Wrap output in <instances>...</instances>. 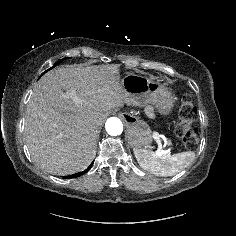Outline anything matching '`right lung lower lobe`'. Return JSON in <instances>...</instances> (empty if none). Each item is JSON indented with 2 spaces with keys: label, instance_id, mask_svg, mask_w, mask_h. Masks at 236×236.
<instances>
[{
  "label": "right lung lower lobe",
  "instance_id": "obj_1",
  "mask_svg": "<svg viewBox=\"0 0 236 236\" xmlns=\"http://www.w3.org/2000/svg\"><path fill=\"white\" fill-rule=\"evenodd\" d=\"M91 167H92V164H91V165L88 167V169H86L85 171L79 172V173H76V174H73V175L65 176L64 178L69 179V178L78 177V176L84 174L85 172H87Z\"/></svg>",
  "mask_w": 236,
  "mask_h": 236
}]
</instances>
